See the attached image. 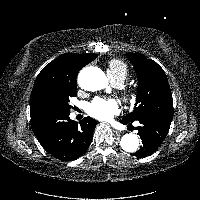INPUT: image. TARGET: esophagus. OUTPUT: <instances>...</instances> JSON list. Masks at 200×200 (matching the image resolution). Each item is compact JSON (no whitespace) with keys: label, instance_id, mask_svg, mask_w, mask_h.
Here are the masks:
<instances>
[{"label":"esophagus","instance_id":"obj_1","mask_svg":"<svg viewBox=\"0 0 200 200\" xmlns=\"http://www.w3.org/2000/svg\"><path fill=\"white\" fill-rule=\"evenodd\" d=\"M113 131H114L116 134H120V133H121L119 130H116V129H113Z\"/></svg>","mask_w":200,"mask_h":200}]
</instances>
